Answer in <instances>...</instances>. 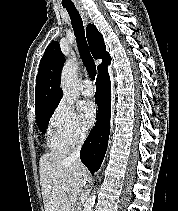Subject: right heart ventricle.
Returning <instances> with one entry per match:
<instances>
[{
  "mask_svg": "<svg viewBox=\"0 0 178 211\" xmlns=\"http://www.w3.org/2000/svg\"><path fill=\"white\" fill-rule=\"evenodd\" d=\"M48 143L52 149L58 151H64L66 149L62 141L56 135L54 129L49 132Z\"/></svg>",
  "mask_w": 178,
  "mask_h": 211,
  "instance_id": "e07e8e85",
  "label": "right heart ventricle"
}]
</instances>
